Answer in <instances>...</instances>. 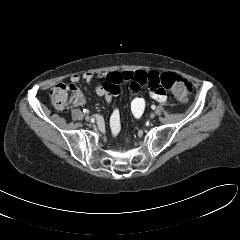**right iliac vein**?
I'll use <instances>...</instances> for the list:
<instances>
[{
    "mask_svg": "<svg viewBox=\"0 0 240 240\" xmlns=\"http://www.w3.org/2000/svg\"><path fill=\"white\" fill-rule=\"evenodd\" d=\"M85 120L89 122L91 120V117L89 115H86Z\"/></svg>",
    "mask_w": 240,
    "mask_h": 240,
    "instance_id": "63e3f726",
    "label": "right iliac vein"
}]
</instances>
